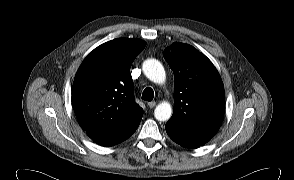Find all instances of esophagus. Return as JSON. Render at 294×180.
Instances as JSON below:
<instances>
[{
    "label": "esophagus",
    "instance_id": "obj_1",
    "mask_svg": "<svg viewBox=\"0 0 294 180\" xmlns=\"http://www.w3.org/2000/svg\"><path fill=\"white\" fill-rule=\"evenodd\" d=\"M147 105H148L149 108H154L155 105H156V102L155 101H151V102H148Z\"/></svg>",
    "mask_w": 294,
    "mask_h": 180
}]
</instances>
